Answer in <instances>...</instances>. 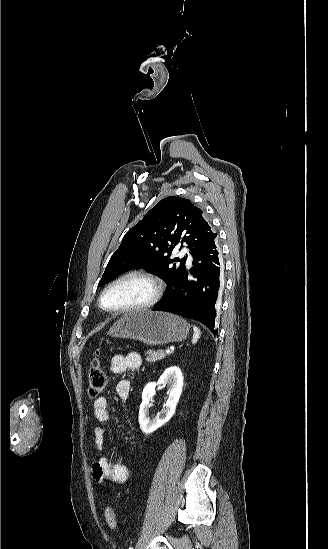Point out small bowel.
Here are the masks:
<instances>
[{
    "instance_id": "1",
    "label": "small bowel",
    "mask_w": 328,
    "mask_h": 549,
    "mask_svg": "<svg viewBox=\"0 0 328 549\" xmlns=\"http://www.w3.org/2000/svg\"><path fill=\"white\" fill-rule=\"evenodd\" d=\"M142 366L141 356L136 352H130L126 355H114L110 360V370L115 374H121L126 371H139ZM130 382L126 379L121 380L116 386V393L121 400H127L130 394ZM94 418L98 424L94 427L95 450L99 455L93 463V475L97 482L103 484L109 482L113 485L125 483L130 475L126 465L119 463L104 454L105 449V426L110 420L109 403L107 398L100 397L95 400L93 405Z\"/></svg>"
}]
</instances>
